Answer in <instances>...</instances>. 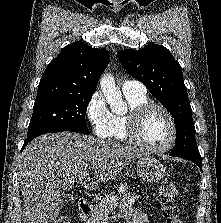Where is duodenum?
Returning a JSON list of instances; mask_svg holds the SVG:
<instances>
[{
	"label": "duodenum",
	"mask_w": 221,
	"mask_h": 223,
	"mask_svg": "<svg viewBox=\"0 0 221 223\" xmlns=\"http://www.w3.org/2000/svg\"><path fill=\"white\" fill-rule=\"evenodd\" d=\"M92 211V203L88 198H81L78 201L79 219H86Z\"/></svg>",
	"instance_id": "obj_1"
}]
</instances>
